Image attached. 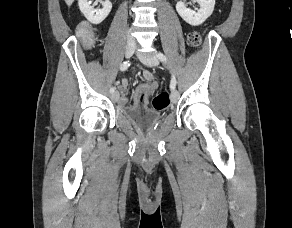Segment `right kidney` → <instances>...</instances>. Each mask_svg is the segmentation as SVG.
Wrapping results in <instances>:
<instances>
[{
	"mask_svg": "<svg viewBox=\"0 0 292 228\" xmlns=\"http://www.w3.org/2000/svg\"><path fill=\"white\" fill-rule=\"evenodd\" d=\"M91 3V0H78L79 9L90 23L100 24L110 13L112 3L109 0H105L103 8L98 10L94 9Z\"/></svg>",
	"mask_w": 292,
	"mask_h": 228,
	"instance_id": "1",
	"label": "right kidney"
}]
</instances>
